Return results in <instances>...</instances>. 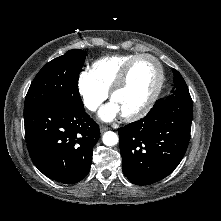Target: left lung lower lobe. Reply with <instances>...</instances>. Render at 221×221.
I'll return each instance as SVG.
<instances>
[{
  "label": "left lung lower lobe",
  "mask_w": 221,
  "mask_h": 221,
  "mask_svg": "<svg viewBox=\"0 0 221 221\" xmlns=\"http://www.w3.org/2000/svg\"><path fill=\"white\" fill-rule=\"evenodd\" d=\"M141 120L118 129L122 170L130 182L149 185L181 162L190 139L193 103L188 90H172Z\"/></svg>",
  "instance_id": "0a47b994"
}]
</instances>
